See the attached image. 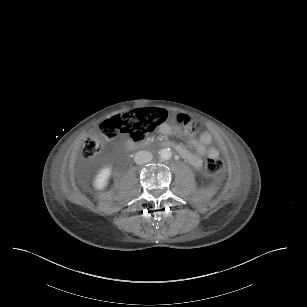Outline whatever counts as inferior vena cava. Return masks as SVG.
Masks as SVG:
<instances>
[{
    "mask_svg": "<svg viewBox=\"0 0 307 307\" xmlns=\"http://www.w3.org/2000/svg\"><path fill=\"white\" fill-rule=\"evenodd\" d=\"M153 159V155L149 151H139L134 156V161L136 164L142 165L150 162Z\"/></svg>",
    "mask_w": 307,
    "mask_h": 307,
    "instance_id": "obj_1",
    "label": "inferior vena cava"
}]
</instances>
